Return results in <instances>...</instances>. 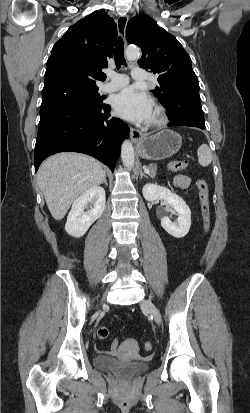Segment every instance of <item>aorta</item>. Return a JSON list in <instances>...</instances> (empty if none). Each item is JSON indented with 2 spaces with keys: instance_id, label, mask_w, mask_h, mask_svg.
Segmentation results:
<instances>
[{
  "instance_id": "obj_1",
  "label": "aorta",
  "mask_w": 250,
  "mask_h": 413,
  "mask_svg": "<svg viewBox=\"0 0 250 413\" xmlns=\"http://www.w3.org/2000/svg\"><path fill=\"white\" fill-rule=\"evenodd\" d=\"M126 57L129 60H135L139 58L140 52L138 48H133V47H128L126 49ZM121 158L123 165L128 168L132 169L135 163V154H134V148L133 145L130 141L125 140L121 146Z\"/></svg>"
}]
</instances>
